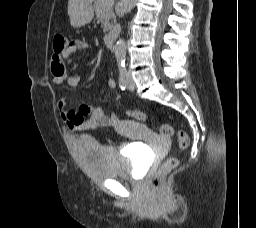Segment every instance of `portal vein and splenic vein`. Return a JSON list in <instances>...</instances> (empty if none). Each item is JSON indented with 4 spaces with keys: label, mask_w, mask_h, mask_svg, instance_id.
<instances>
[{
    "label": "portal vein and splenic vein",
    "mask_w": 256,
    "mask_h": 228,
    "mask_svg": "<svg viewBox=\"0 0 256 228\" xmlns=\"http://www.w3.org/2000/svg\"><path fill=\"white\" fill-rule=\"evenodd\" d=\"M107 2H111V1H113V0H106Z\"/></svg>",
    "instance_id": "18ae733b"
}]
</instances>
